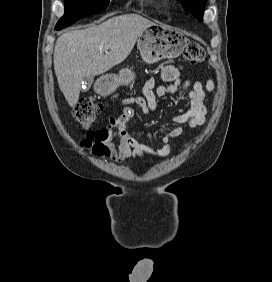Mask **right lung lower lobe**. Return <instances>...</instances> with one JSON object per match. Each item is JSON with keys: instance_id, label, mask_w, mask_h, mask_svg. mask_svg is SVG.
Returning a JSON list of instances; mask_svg holds the SVG:
<instances>
[{"instance_id": "1", "label": "right lung lower lobe", "mask_w": 272, "mask_h": 282, "mask_svg": "<svg viewBox=\"0 0 272 282\" xmlns=\"http://www.w3.org/2000/svg\"><path fill=\"white\" fill-rule=\"evenodd\" d=\"M62 28H56V30H61Z\"/></svg>"}]
</instances>
